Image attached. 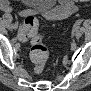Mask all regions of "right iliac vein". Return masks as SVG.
Returning <instances> with one entry per match:
<instances>
[{"label": "right iliac vein", "mask_w": 91, "mask_h": 91, "mask_svg": "<svg viewBox=\"0 0 91 91\" xmlns=\"http://www.w3.org/2000/svg\"><path fill=\"white\" fill-rule=\"evenodd\" d=\"M13 28H14V29H17V28H18V24H14V25H13Z\"/></svg>", "instance_id": "obj_1"}]
</instances>
